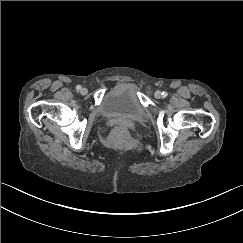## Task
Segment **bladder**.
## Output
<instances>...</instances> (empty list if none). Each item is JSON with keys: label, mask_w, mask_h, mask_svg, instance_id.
Wrapping results in <instances>:
<instances>
[{"label": "bladder", "mask_w": 243, "mask_h": 243, "mask_svg": "<svg viewBox=\"0 0 243 243\" xmlns=\"http://www.w3.org/2000/svg\"><path fill=\"white\" fill-rule=\"evenodd\" d=\"M138 86L133 82H121L109 90L98 105V112L108 119H122L142 122L147 111L142 105Z\"/></svg>", "instance_id": "31cf9c89"}]
</instances>
